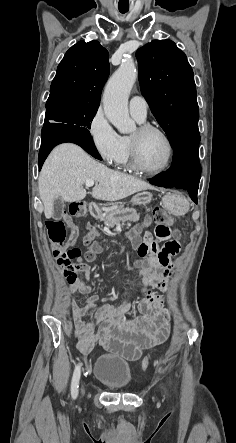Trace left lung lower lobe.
I'll return each mask as SVG.
<instances>
[{"label":"left lung lower lobe","instance_id":"0a47b994","mask_svg":"<svg viewBox=\"0 0 236 443\" xmlns=\"http://www.w3.org/2000/svg\"><path fill=\"white\" fill-rule=\"evenodd\" d=\"M200 134L185 138L174 148L171 168L158 174L150 182L165 188H182L188 191L191 199L197 203L201 166L198 146Z\"/></svg>","mask_w":236,"mask_h":443}]
</instances>
